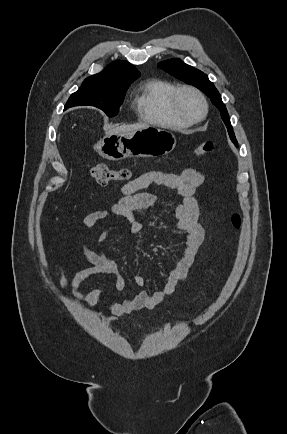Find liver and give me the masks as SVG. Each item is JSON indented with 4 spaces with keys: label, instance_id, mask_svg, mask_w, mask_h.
<instances>
[{
    "label": "liver",
    "instance_id": "obj_1",
    "mask_svg": "<svg viewBox=\"0 0 287 434\" xmlns=\"http://www.w3.org/2000/svg\"><path fill=\"white\" fill-rule=\"evenodd\" d=\"M148 125L143 123H138L134 125H122L116 128L109 129L106 134H115V133H132L138 129L145 128Z\"/></svg>",
    "mask_w": 287,
    "mask_h": 434
}]
</instances>
